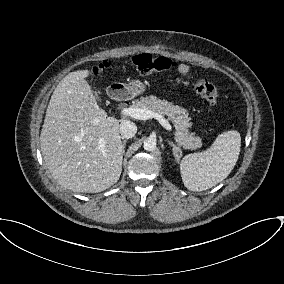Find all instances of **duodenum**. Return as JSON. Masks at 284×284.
I'll use <instances>...</instances> for the list:
<instances>
[{
  "label": "duodenum",
  "instance_id": "410a0bca",
  "mask_svg": "<svg viewBox=\"0 0 284 284\" xmlns=\"http://www.w3.org/2000/svg\"><path fill=\"white\" fill-rule=\"evenodd\" d=\"M128 92L123 87L113 88L110 90V96L116 101H121L127 96Z\"/></svg>",
  "mask_w": 284,
  "mask_h": 284
}]
</instances>
